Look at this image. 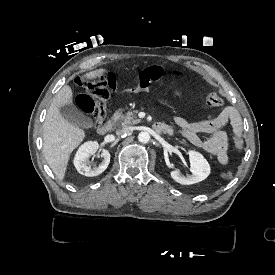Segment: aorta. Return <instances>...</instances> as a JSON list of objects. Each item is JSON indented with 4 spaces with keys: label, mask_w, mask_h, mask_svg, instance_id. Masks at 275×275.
<instances>
[{
    "label": "aorta",
    "mask_w": 275,
    "mask_h": 275,
    "mask_svg": "<svg viewBox=\"0 0 275 275\" xmlns=\"http://www.w3.org/2000/svg\"><path fill=\"white\" fill-rule=\"evenodd\" d=\"M151 140L150 134L148 132L142 131L138 134V141L142 144L149 143Z\"/></svg>",
    "instance_id": "aorta-1"
}]
</instances>
